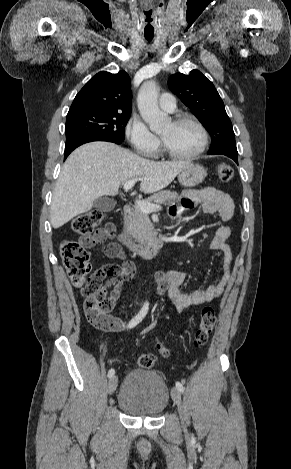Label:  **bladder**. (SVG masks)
I'll list each match as a JSON object with an SVG mask.
<instances>
[{
  "label": "bladder",
  "mask_w": 291,
  "mask_h": 469,
  "mask_svg": "<svg viewBox=\"0 0 291 469\" xmlns=\"http://www.w3.org/2000/svg\"><path fill=\"white\" fill-rule=\"evenodd\" d=\"M169 390L155 372L133 369L127 373L120 387L118 406L130 415L157 416L167 407Z\"/></svg>",
  "instance_id": "31cf9c89"
}]
</instances>
